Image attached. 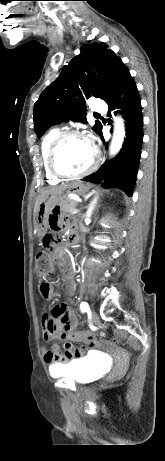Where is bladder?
Here are the masks:
<instances>
[{
  "label": "bladder",
  "instance_id": "1",
  "mask_svg": "<svg viewBox=\"0 0 165 461\" xmlns=\"http://www.w3.org/2000/svg\"><path fill=\"white\" fill-rule=\"evenodd\" d=\"M103 361L93 355L76 359L63 367L61 375L82 385L98 379L104 373Z\"/></svg>",
  "mask_w": 165,
  "mask_h": 461
}]
</instances>
